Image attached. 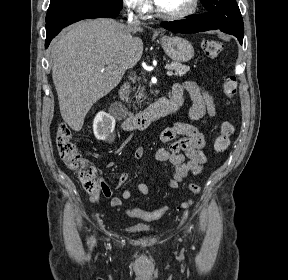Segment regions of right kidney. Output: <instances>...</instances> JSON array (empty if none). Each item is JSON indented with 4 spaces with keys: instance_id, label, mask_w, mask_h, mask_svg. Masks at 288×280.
I'll list each match as a JSON object with an SVG mask.
<instances>
[{
    "instance_id": "right-kidney-1",
    "label": "right kidney",
    "mask_w": 288,
    "mask_h": 280,
    "mask_svg": "<svg viewBox=\"0 0 288 280\" xmlns=\"http://www.w3.org/2000/svg\"><path fill=\"white\" fill-rule=\"evenodd\" d=\"M115 120L110 115L98 113L93 122L94 135L98 140L111 141L113 139V131Z\"/></svg>"
}]
</instances>
